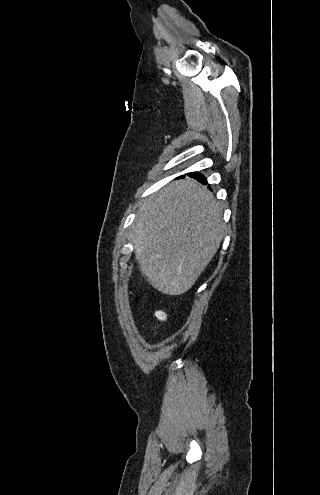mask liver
Masks as SVG:
<instances>
[{
    "label": "liver",
    "instance_id": "1",
    "mask_svg": "<svg viewBox=\"0 0 320 495\" xmlns=\"http://www.w3.org/2000/svg\"><path fill=\"white\" fill-rule=\"evenodd\" d=\"M222 207L192 178L174 181L139 209L131 242L142 272L161 293L189 290L224 236Z\"/></svg>",
    "mask_w": 320,
    "mask_h": 495
}]
</instances>
